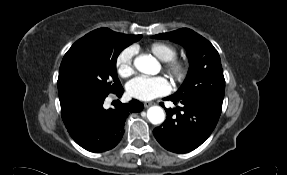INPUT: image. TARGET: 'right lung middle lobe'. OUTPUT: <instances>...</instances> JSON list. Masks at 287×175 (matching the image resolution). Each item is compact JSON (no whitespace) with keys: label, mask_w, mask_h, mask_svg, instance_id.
Instances as JSON below:
<instances>
[{"label":"right lung middle lobe","mask_w":287,"mask_h":175,"mask_svg":"<svg viewBox=\"0 0 287 175\" xmlns=\"http://www.w3.org/2000/svg\"><path fill=\"white\" fill-rule=\"evenodd\" d=\"M141 37L100 28L76 41L60 65L59 99L73 95L102 97L121 90L116 72L117 57Z\"/></svg>","instance_id":"obj_1"}]
</instances>
